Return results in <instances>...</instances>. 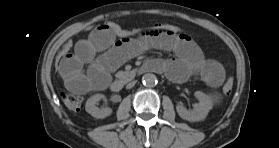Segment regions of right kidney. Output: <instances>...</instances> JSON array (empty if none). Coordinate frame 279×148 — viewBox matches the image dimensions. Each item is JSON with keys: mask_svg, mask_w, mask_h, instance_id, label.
<instances>
[{"mask_svg": "<svg viewBox=\"0 0 279 148\" xmlns=\"http://www.w3.org/2000/svg\"><path fill=\"white\" fill-rule=\"evenodd\" d=\"M105 96L102 94H95L93 96H91L85 104V110L87 113H89L91 116H93L94 118H98V119H103L106 118L107 116H110L112 113V110L110 108H102L99 109L96 104L98 103V101H100L101 99H104Z\"/></svg>", "mask_w": 279, "mask_h": 148, "instance_id": "right-kidney-1", "label": "right kidney"}]
</instances>
